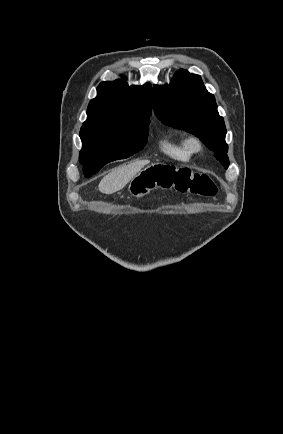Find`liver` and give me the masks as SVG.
<instances>
[{
  "mask_svg": "<svg viewBox=\"0 0 283 434\" xmlns=\"http://www.w3.org/2000/svg\"><path fill=\"white\" fill-rule=\"evenodd\" d=\"M149 163V160H139L114 169L100 181L99 191L104 194H113L123 189Z\"/></svg>",
  "mask_w": 283,
  "mask_h": 434,
  "instance_id": "obj_1",
  "label": "liver"
}]
</instances>
